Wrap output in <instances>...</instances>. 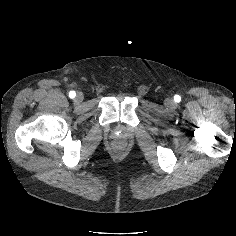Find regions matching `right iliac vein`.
Segmentation results:
<instances>
[{
    "label": "right iliac vein",
    "mask_w": 236,
    "mask_h": 236,
    "mask_svg": "<svg viewBox=\"0 0 236 236\" xmlns=\"http://www.w3.org/2000/svg\"><path fill=\"white\" fill-rule=\"evenodd\" d=\"M83 99H84L83 94H82L81 92H79V93L76 95L75 101H76L77 103H81V102L83 101Z\"/></svg>",
    "instance_id": "1"
}]
</instances>
